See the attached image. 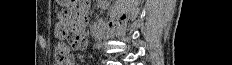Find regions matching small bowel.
Returning a JSON list of instances; mask_svg holds the SVG:
<instances>
[{"label": "small bowel", "instance_id": "1", "mask_svg": "<svg viewBox=\"0 0 232 65\" xmlns=\"http://www.w3.org/2000/svg\"><path fill=\"white\" fill-rule=\"evenodd\" d=\"M78 12H58L56 16L57 29L54 30V37H60L62 40V45H70L71 47H83L85 42L83 40H77L81 38V33H73L72 31H77V26L73 23H69L68 17H78ZM58 65H74V57L69 56L64 62Z\"/></svg>", "mask_w": 232, "mask_h": 65}]
</instances>
